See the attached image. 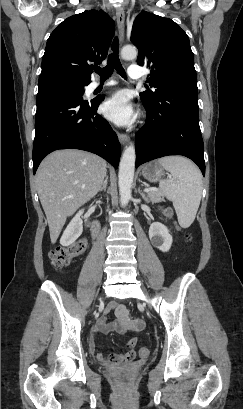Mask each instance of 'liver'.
I'll return each instance as SVG.
<instances>
[{
    "instance_id": "liver-1",
    "label": "liver",
    "mask_w": 243,
    "mask_h": 409,
    "mask_svg": "<svg viewBox=\"0 0 243 409\" xmlns=\"http://www.w3.org/2000/svg\"><path fill=\"white\" fill-rule=\"evenodd\" d=\"M105 175V160L81 150H58L41 162L36 185L52 244L57 241L67 217L99 192Z\"/></svg>"
}]
</instances>
